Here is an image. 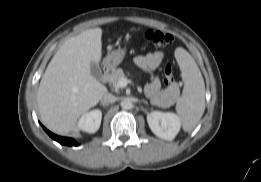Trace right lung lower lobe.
I'll return each mask as SVG.
<instances>
[{
  "label": "right lung lower lobe",
  "mask_w": 261,
  "mask_h": 182,
  "mask_svg": "<svg viewBox=\"0 0 261 182\" xmlns=\"http://www.w3.org/2000/svg\"><path fill=\"white\" fill-rule=\"evenodd\" d=\"M44 130L49 134V136L54 139L55 141L59 142L60 144L63 145H68V146H77L78 144L72 139V138H67V137H60L57 136L53 133H51L49 130H47L45 127H43Z\"/></svg>",
  "instance_id": "98d812e1"
}]
</instances>
